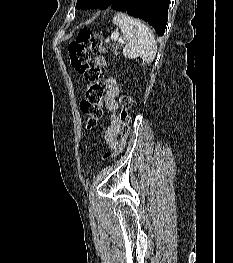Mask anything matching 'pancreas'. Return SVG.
<instances>
[{
    "instance_id": "pancreas-1",
    "label": "pancreas",
    "mask_w": 233,
    "mask_h": 263,
    "mask_svg": "<svg viewBox=\"0 0 233 263\" xmlns=\"http://www.w3.org/2000/svg\"><path fill=\"white\" fill-rule=\"evenodd\" d=\"M120 48L119 44H113L112 47L110 48V50L115 54L118 55V49Z\"/></svg>"
}]
</instances>
